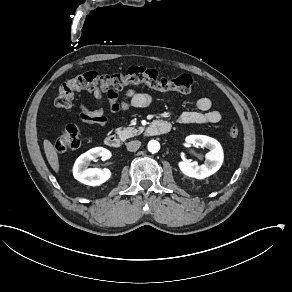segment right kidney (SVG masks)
<instances>
[{
  "label": "right kidney",
  "instance_id": "1",
  "mask_svg": "<svg viewBox=\"0 0 292 292\" xmlns=\"http://www.w3.org/2000/svg\"><path fill=\"white\" fill-rule=\"evenodd\" d=\"M97 157L107 160L111 157V152L106 148L96 147L79 156L73 166L74 178L90 186H98L107 181L111 176L109 169L87 168L89 163Z\"/></svg>",
  "mask_w": 292,
  "mask_h": 292
}]
</instances>
